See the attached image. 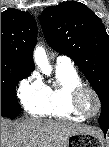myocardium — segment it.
<instances>
[{
    "mask_svg": "<svg viewBox=\"0 0 109 147\" xmlns=\"http://www.w3.org/2000/svg\"><path fill=\"white\" fill-rule=\"evenodd\" d=\"M85 92H90L91 94H93V96L95 97L96 101H97V110L95 112V114L90 115L88 113H86L84 111V109L82 108L81 105V98L83 96V94ZM71 105L73 107V109L80 115L86 117V118H93L94 116H96L100 110H101V99L99 94L97 93L96 90H94L92 87H89L85 84H82L80 86H77L71 96Z\"/></svg>",
    "mask_w": 109,
    "mask_h": 147,
    "instance_id": "obj_1",
    "label": "myocardium"
}]
</instances>
